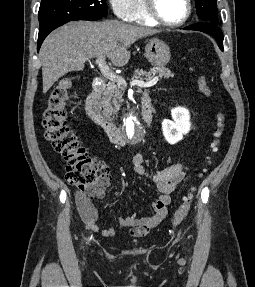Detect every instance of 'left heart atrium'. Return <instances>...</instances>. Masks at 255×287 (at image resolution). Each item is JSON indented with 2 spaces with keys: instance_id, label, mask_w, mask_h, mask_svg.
<instances>
[{
  "instance_id": "left-heart-atrium-1",
  "label": "left heart atrium",
  "mask_w": 255,
  "mask_h": 287,
  "mask_svg": "<svg viewBox=\"0 0 255 287\" xmlns=\"http://www.w3.org/2000/svg\"><path fill=\"white\" fill-rule=\"evenodd\" d=\"M114 33H125V32H114ZM120 39H130V38H120Z\"/></svg>"
}]
</instances>
